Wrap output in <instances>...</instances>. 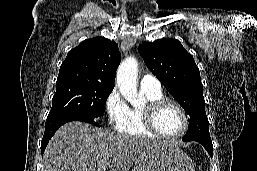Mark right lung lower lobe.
<instances>
[{"instance_id": "obj_1", "label": "right lung lower lobe", "mask_w": 257, "mask_h": 171, "mask_svg": "<svg viewBox=\"0 0 257 171\" xmlns=\"http://www.w3.org/2000/svg\"><path fill=\"white\" fill-rule=\"evenodd\" d=\"M70 121H82L86 123H90L94 126H100L97 122H95L94 118L80 115V114H63L60 116H55L51 118H47L44 136L41 142V153L43 155L45 148L55 134V132L65 123Z\"/></svg>"}]
</instances>
